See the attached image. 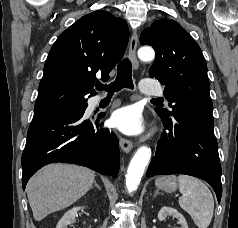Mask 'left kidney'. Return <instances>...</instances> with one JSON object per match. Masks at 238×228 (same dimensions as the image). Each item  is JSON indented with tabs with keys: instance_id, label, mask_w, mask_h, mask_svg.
I'll return each instance as SVG.
<instances>
[{
	"instance_id": "obj_1",
	"label": "left kidney",
	"mask_w": 238,
	"mask_h": 228,
	"mask_svg": "<svg viewBox=\"0 0 238 228\" xmlns=\"http://www.w3.org/2000/svg\"><path fill=\"white\" fill-rule=\"evenodd\" d=\"M168 216L176 218L178 220V223L180 224V228H188L187 222L181 213L171 207H162L158 213V219L160 221H163Z\"/></svg>"
}]
</instances>
